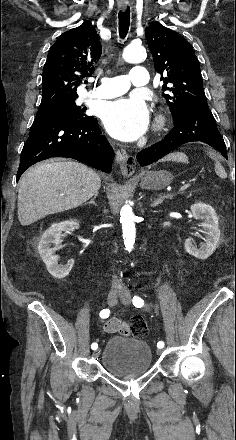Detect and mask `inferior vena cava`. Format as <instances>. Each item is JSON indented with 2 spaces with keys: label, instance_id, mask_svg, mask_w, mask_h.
<instances>
[{
  "label": "inferior vena cava",
  "instance_id": "obj_1",
  "mask_svg": "<svg viewBox=\"0 0 236 440\" xmlns=\"http://www.w3.org/2000/svg\"><path fill=\"white\" fill-rule=\"evenodd\" d=\"M121 286H122V281L120 279H118L116 276H113L112 287L119 288Z\"/></svg>",
  "mask_w": 236,
  "mask_h": 440
}]
</instances>
